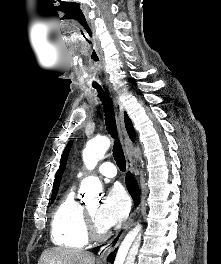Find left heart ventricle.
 I'll return each instance as SVG.
<instances>
[{
	"mask_svg": "<svg viewBox=\"0 0 221 264\" xmlns=\"http://www.w3.org/2000/svg\"><path fill=\"white\" fill-rule=\"evenodd\" d=\"M86 208L92 214V216H93L98 228L101 229V230H104V228L102 226H100V224L96 220V211H97V208H98L97 203L87 205Z\"/></svg>",
	"mask_w": 221,
	"mask_h": 264,
	"instance_id": "1",
	"label": "left heart ventricle"
}]
</instances>
